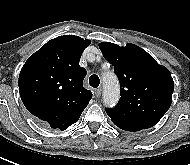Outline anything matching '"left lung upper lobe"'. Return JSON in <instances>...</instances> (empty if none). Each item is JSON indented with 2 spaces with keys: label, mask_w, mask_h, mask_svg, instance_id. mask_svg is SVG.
<instances>
[{
  "label": "left lung upper lobe",
  "mask_w": 190,
  "mask_h": 165,
  "mask_svg": "<svg viewBox=\"0 0 190 165\" xmlns=\"http://www.w3.org/2000/svg\"><path fill=\"white\" fill-rule=\"evenodd\" d=\"M99 48L114 66L120 81L118 104L112 109L106 108L112 122L134 131L154 126L172 102L174 82L169 70L134 44L120 47L101 42Z\"/></svg>",
  "instance_id": "obj_1"
}]
</instances>
